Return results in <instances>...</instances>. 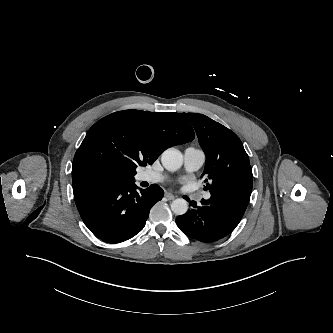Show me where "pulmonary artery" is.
I'll return each mask as SVG.
<instances>
[{
    "label": "pulmonary artery",
    "mask_w": 333,
    "mask_h": 333,
    "mask_svg": "<svg viewBox=\"0 0 333 333\" xmlns=\"http://www.w3.org/2000/svg\"><path fill=\"white\" fill-rule=\"evenodd\" d=\"M205 161V154L201 149L189 147L184 151V166L188 172H195L199 170ZM138 181L148 183H159L166 179L165 175L155 171H142L137 174ZM205 199L210 198V193L203 195Z\"/></svg>",
    "instance_id": "pulmonary-artery-1"
}]
</instances>
